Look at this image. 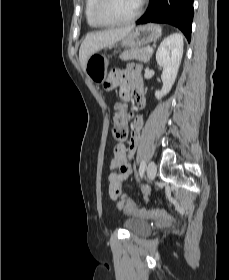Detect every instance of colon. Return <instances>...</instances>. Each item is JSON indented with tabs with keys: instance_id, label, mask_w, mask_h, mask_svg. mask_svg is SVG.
<instances>
[{
	"instance_id": "obj_1",
	"label": "colon",
	"mask_w": 229,
	"mask_h": 280,
	"mask_svg": "<svg viewBox=\"0 0 229 280\" xmlns=\"http://www.w3.org/2000/svg\"><path fill=\"white\" fill-rule=\"evenodd\" d=\"M127 124H128V115L123 112H117L113 119L112 135L115 142H119L124 139L127 135ZM112 196H117L119 191L113 189L109 191ZM120 207L127 208L131 213L138 217L148 218V217H160L166 214V211L163 209H145L142 207H137L133 205L127 197H123L119 202Z\"/></svg>"
}]
</instances>
